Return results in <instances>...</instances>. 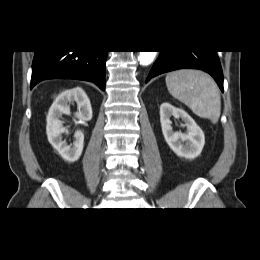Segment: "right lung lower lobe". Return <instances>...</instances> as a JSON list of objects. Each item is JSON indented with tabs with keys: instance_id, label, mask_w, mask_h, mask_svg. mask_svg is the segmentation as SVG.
Returning <instances> with one entry per match:
<instances>
[{
	"instance_id": "right-lung-lower-lobe-1",
	"label": "right lung lower lobe",
	"mask_w": 260,
	"mask_h": 260,
	"mask_svg": "<svg viewBox=\"0 0 260 260\" xmlns=\"http://www.w3.org/2000/svg\"><path fill=\"white\" fill-rule=\"evenodd\" d=\"M106 59L107 51H35L30 88L47 79H78L104 91Z\"/></svg>"
}]
</instances>
